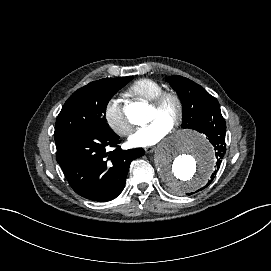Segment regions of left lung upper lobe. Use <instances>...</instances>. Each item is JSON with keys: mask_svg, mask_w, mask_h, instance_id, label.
<instances>
[{"mask_svg": "<svg viewBox=\"0 0 271 271\" xmlns=\"http://www.w3.org/2000/svg\"><path fill=\"white\" fill-rule=\"evenodd\" d=\"M167 81L178 93L183 104V128L196 129L214 112L220 111L218 100L192 80L172 75Z\"/></svg>", "mask_w": 271, "mask_h": 271, "instance_id": "left-lung-upper-lobe-1", "label": "left lung upper lobe"}]
</instances>
